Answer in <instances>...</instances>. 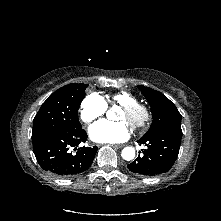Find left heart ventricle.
<instances>
[{
	"label": "left heart ventricle",
	"instance_id": "b2bd125f",
	"mask_svg": "<svg viewBox=\"0 0 221 221\" xmlns=\"http://www.w3.org/2000/svg\"><path fill=\"white\" fill-rule=\"evenodd\" d=\"M118 119L128 121L129 116L123 110H121L119 115H118Z\"/></svg>",
	"mask_w": 221,
	"mask_h": 221
}]
</instances>
